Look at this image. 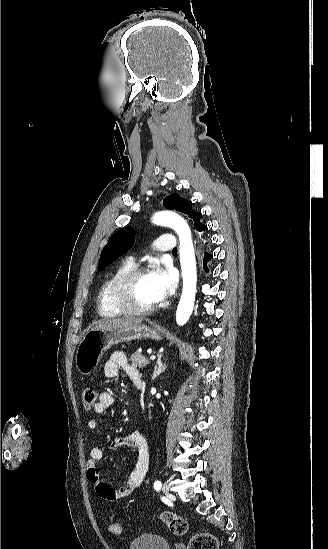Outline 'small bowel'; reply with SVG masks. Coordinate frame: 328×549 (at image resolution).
Masks as SVG:
<instances>
[{
    "instance_id": "obj_1",
    "label": "small bowel",
    "mask_w": 328,
    "mask_h": 549,
    "mask_svg": "<svg viewBox=\"0 0 328 549\" xmlns=\"http://www.w3.org/2000/svg\"><path fill=\"white\" fill-rule=\"evenodd\" d=\"M133 381L139 375L136 367L129 364L127 356L121 351H116L110 355L104 364V375L107 378L116 377L120 371ZM114 396L109 392H102L98 401L93 407L96 414L105 413L114 403ZM87 427L91 431L99 429V422L96 419H90ZM121 447H128L137 452V459L134 468L130 471L121 487L115 488L105 483L101 478L98 467L99 460L103 457V451L99 447H93L90 450V457L87 461V476L93 485L97 495L106 501H117L131 495L138 488L148 471L149 467V447L145 436L139 431L134 430L124 437L116 438L111 442L110 448L116 450Z\"/></svg>"
}]
</instances>
